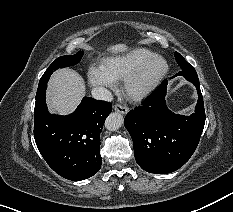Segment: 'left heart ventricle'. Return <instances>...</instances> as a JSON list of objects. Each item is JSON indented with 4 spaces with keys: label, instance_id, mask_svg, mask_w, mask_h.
Here are the masks:
<instances>
[{
    "label": "left heart ventricle",
    "instance_id": "1",
    "mask_svg": "<svg viewBox=\"0 0 233 212\" xmlns=\"http://www.w3.org/2000/svg\"><path fill=\"white\" fill-rule=\"evenodd\" d=\"M162 66L163 65L160 61L151 64L140 78L138 85H144L148 83L150 80H152L156 76V74L161 70Z\"/></svg>",
    "mask_w": 233,
    "mask_h": 212
}]
</instances>
